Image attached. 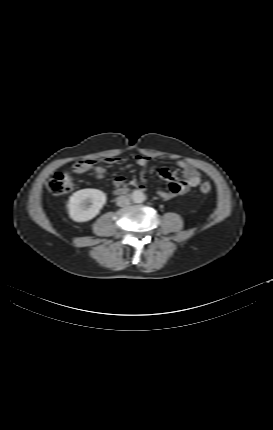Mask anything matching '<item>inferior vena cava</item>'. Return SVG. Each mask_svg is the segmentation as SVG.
Wrapping results in <instances>:
<instances>
[{
    "mask_svg": "<svg viewBox=\"0 0 273 430\" xmlns=\"http://www.w3.org/2000/svg\"><path fill=\"white\" fill-rule=\"evenodd\" d=\"M116 201L117 205L120 207H126L130 204V200L127 196H119Z\"/></svg>",
    "mask_w": 273,
    "mask_h": 430,
    "instance_id": "inferior-vena-cava-1",
    "label": "inferior vena cava"
}]
</instances>
